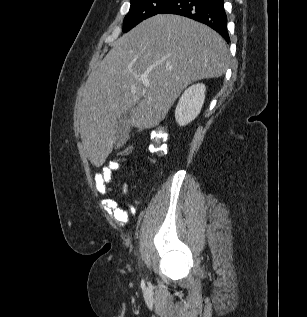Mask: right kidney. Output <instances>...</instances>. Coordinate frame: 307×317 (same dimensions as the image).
Instances as JSON below:
<instances>
[{"mask_svg": "<svg viewBox=\"0 0 307 317\" xmlns=\"http://www.w3.org/2000/svg\"><path fill=\"white\" fill-rule=\"evenodd\" d=\"M205 91V85L200 83L184 91L175 109V119L180 126L189 124L199 115L204 104Z\"/></svg>", "mask_w": 307, "mask_h": 317, "instance_id": "ca27d5eb", "label": "right kidney"}]
</instances>
